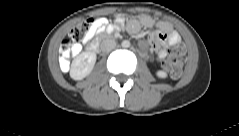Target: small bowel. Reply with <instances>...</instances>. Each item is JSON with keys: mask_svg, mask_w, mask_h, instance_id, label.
<instances>
[{"mask_svg": "<svg viewBox=\"0 0 239 136\" xmlns=\"http://www.w3.org/2000/svg\"><path fill=\"white\" fill-rule=\"evenodd\" d=\"M126 27L127 31L133 35L139 34L141 28H153L156 30L149 34V43L157 51V59L163 62L167 57V51L160 48V45L177 44L181 41L179 34L174 31L171 25L165 21H155L149 16H142L138 21H130L126 25L122 18H117L113 24H108L105 19H97L91 32L88 34L84 43H87L94 34L100 31L113 32Z\"/></svg>", "mask_w": 239, "mask_h": 136, "instance_id": "1", "label": "small bowel"}]
</instances>
